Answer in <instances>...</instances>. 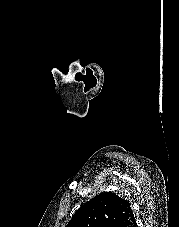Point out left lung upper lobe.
<instances>
[{"label": "left lung upper lobe", "instance_id": "1", "mask_svg": "<svg viewBox=\"0 0 179 227\" xmlns=\"http://www.w3.org/2000/svg\"><path fill=\"white\" fill-rule=\"evenodd\" d=\"M137 227L130 203L112 193H101L84 203L66 227Z\"/></svg>", "mask_w": 179, "mask_h": 227}]
</instances>
